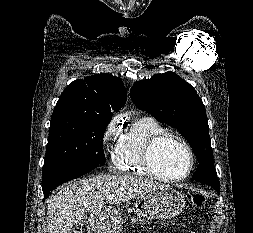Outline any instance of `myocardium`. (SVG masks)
Here are the masks:
<instances>
[{"label": "myocardium", "mask_w": 253, "mask_h": 233, "mask_svg": "<svg viewBox=\"0 0 253 233\" xmlns=\"http://www.w3.org/2000/svg\"><path fill=\"white\" fill-rule=\"evenodd\" d=\"M167 141H172V142H176V143L180 144L188 152L190 164H189V168H188L187 172L182 176H178V177L163 176L155 168L154 161H153L154 154H155L157 148L161 144H163ZM143 164H144L145 168L147 169V171L156 179L161 180V181H165V182H179V181H183L186 178H188L191 175V173L193 172L194 166H195V154H194L193 148L186 140H184L183 138H181L175 134L165 132L163 134H159L157 136H154L153 138H151L147 142L144 152H143Z\"/></svg>", "instance_id": "myocardium-1"}]
</instances>
